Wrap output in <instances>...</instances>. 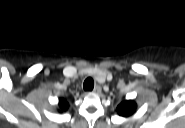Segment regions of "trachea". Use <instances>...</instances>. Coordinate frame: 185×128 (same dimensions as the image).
<instances>
[{"mask_svg": "<svg viewBox=\"0 0 185 128\" xmlns=\"http://www.w3.org/2000/svg\"><path fill=\"white\" fill-rule=\"evenodd\" d=\"M83 88L84 90H92L94 88V80L91 77L87 78L84 81Z\"/></svg>", "mask_w": 185, "mask_h": 128, "instance_id": "1", "label": "trachea"}]
</instances>
